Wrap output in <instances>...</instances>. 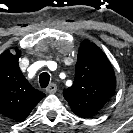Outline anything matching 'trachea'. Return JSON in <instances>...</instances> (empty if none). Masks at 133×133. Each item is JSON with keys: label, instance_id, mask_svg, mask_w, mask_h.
<instances>
[{"label": "trachea", "instance_id": "obj_1", "mask_svg": "<svg viewBox=\"0 0 133 133\" xmlns=\"http://www.w3.org/2000/svg\"><path fill=\"white\" fill-rule=\"evenodd\" d=\"M49 81H50V75L47 72H43L40 74L39 82L42 88L47 87L49 84Z\"/></svg>", "mask_w": 133, "mask_h": 133}]
</instances>
